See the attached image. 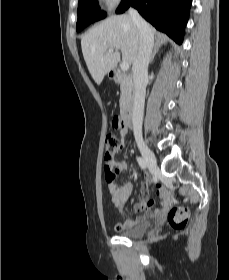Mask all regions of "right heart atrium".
Returning <instances> with one entry per match:
<instances>
[{
  "instance_id": "1",
  "label": "right heart atrium",
  "mask_w": 229,
  "mask_h": 280,
  "mask_svg": "<svg viewBox=\"0 0 229 280\" xmlns=\"http://www.w3.org/2000/svg\"><path fill=\"white\" fill-rule=\"evenodd\" d=\"M100 1L102 7L106 10H111L122 2V0H100Z\"/></svg>"
}]
</instances>
